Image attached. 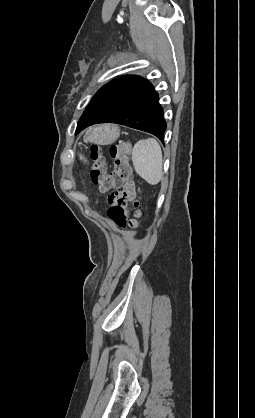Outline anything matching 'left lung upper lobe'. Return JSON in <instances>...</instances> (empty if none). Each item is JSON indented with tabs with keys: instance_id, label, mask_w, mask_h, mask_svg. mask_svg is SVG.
I'll return each instance as SVG.
<instances>
[{
	"instance_id": "obj_1",
	"label": "left lung upper lobe",
	"mask_w": 255,
	"mask_h": 418,
	"mask_svg": "<svg viewBox=\"0 0 255 418\" xmlns=\"http://www.w3.org/2000/svg\"><path fill=\"white\" fill-rule=\"evenodd\" d=\"M109 84V83H108ZM108 84H106V85H104L95 95H94V97H96ZM93 97V98H94ZM79 132V130L78 129H76V134Z\"/></svg>"
}]
</instances>
